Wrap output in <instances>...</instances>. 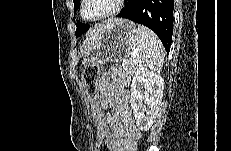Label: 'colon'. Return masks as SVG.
Returning a JSON list of instances; mask_svg holds the SVG:
<instances>
[{
	"label": "colon",
	"mask_w": 231,
	"mask_h": 151,
	"mask_svg": "<svg viewBox=\"0 0 231 151\" xmlns=\"http://www.w3.org/2000/svg\"><path fill=\"white\" fill-rule=\"evenodd\" d=\"M100 68L96 64L85 66L82 72V81L90 103L92 116L97 129L96 151H111L108 143V126L104 118V111L97 96V86Z\"/></svg>",
	"instance_id": "5ec220e1"
}]
</instances>
